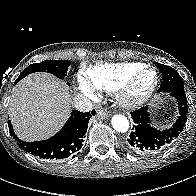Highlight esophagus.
<instances>
[{
    "instance_id": "34e87169",
    "label": "esophagus",
    "mask_w": 196,
    "mask_h": 196,
    "mask_svg": "<svg viewBox=\"0 0 196 196\" xmlns=\"http://www.w3.org/2000/svg\"><path fill=\"white\" fill-rule=\"evenodd\" d=\"M111 114H110V111L106 110V109H103V108H99L97 110V118L98 119H104V118H107L109 117Z\"/></svg>"
}]
</instances>
